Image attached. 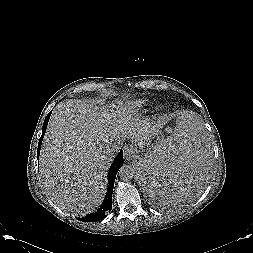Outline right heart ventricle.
<instances>
[{
  "label": "right heart ventricle",
  "mask_w": 253,
  "mask_h": 253,
  "mask_svg": "<svg viewBox=\"0 0 253 253\" xmlns=\"http://www.w3.org/2000/svg\"><path fill=\"white\" fill-rule=\"evenodd\" d=\"M147 105V101L145 99H138L133 102L132 106L130 107L131 112L138 113L145 109Z\"/></svg>",
  "instance_id": "obj_1"
}]
</instances>
